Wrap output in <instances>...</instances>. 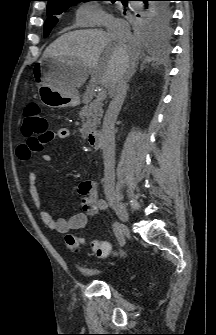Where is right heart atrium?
Listing matches in <instances>:
<instances>
[{"instance_id": "obj_1", "label": "right heart atrium", "mask_w": 216, "mask_h": 335, "mask_svg": "<svg viewBox=\"0 0 216 335\" xmlns=\"http://www.w3.org/2000/svg\"><path fill=\"white\" fill-rule=\"evenodd\" d=\"M76 20L80 26L97 27L113 21L101 6L94 2H84L76 10Z\"/></svg>"}]
</instances>
